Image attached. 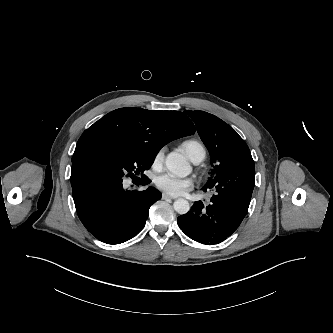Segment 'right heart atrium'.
I'll return each instance as SVG.
<instances>
[{"label":"right heart atrium","mask_w":333,"mask_h":333,"mask_svg":"<svg viewBox=\"0 0 333 333\" xmlns=\"http://www.w3.org/2000/svg\"><path fill=\"white\" fill-rule=\"evenodd\" d=\"M163 158H164V150L161 149L153 157V161H152L153 167L154 168H160L162 166V163H163Z\"/></svg>","instance_id":"obj_1"}]
</instances>
